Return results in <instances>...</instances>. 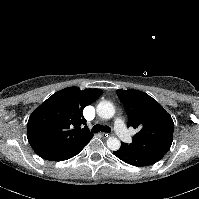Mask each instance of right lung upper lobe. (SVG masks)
<instances>
[{"label":"right lung upper lobe","mask_w":199,"mask_h":199,"mask_svg":"<svg viewBox=\"0 0 199 199\" xmlns=\"http://www.w3.org/2000/svg\"><path fill=\"white\" fill-rule=\"evenodd\" d=\"M99 89H62L44 101L29 117L27 138L36 154L52 153L93 136L83 109L100 95Z\"/></svg>","instance_id":"cb5924a9"}]
</instances>
